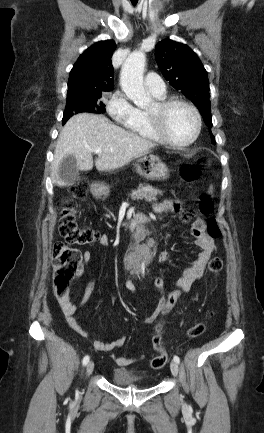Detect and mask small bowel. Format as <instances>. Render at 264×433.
<instances>
[{
	"mask_svg": "<svg viewBox=\"0 0 264 433\" xmlns=\"http://www.w3.org/2000/svg\"><path fill=\"white\" fill-rule=\"evenodd\" d=\"M184 208V203L181 201L167 200L163 202H159L153 205V209L157 213H166V212H179ZM191 233L194 237L195 245L200 249L198 257L194 260L193 264L186 268L181 275V277L177 280V285L182 288L183 291L188 292L191 289L193 283L199 279L204 270L208 260L211 258L212 254L216 250V246L214 243L213 237L205 231V223L202 219H196L192 225ZM98 244L101 246H109L110 242L106 236H102L98 240ZM92 255L90 251L86 250L82 255V267L90 262ZM169 258V254L165 252L162 255V262H166ZM154 286L161 292V298L158 304L157 309L154 311L152 315L144 319L145 324H151L159 314V309L163 304L166 296H165V281L162 278H156L153 281ZM126 288L129 291H134L135 287L132 280H127ZM95 291V285L93 283L89 284L82 303V307H85L90 300L92 294ZM58 303L62 310V313L71 326V328L76 331L81 337L85 339H89L90 333L87 329H85L77 320L76 313L77 309L72 304L69 293L64 296L58 298ZM125 342V337L119 338L115 341L105 342L101 340H94L93 346L96 350L102 352H111L114 349L120 347ZM114 361L120 366H127L137 361V359L125 358L121 356H112Z\"/></svg>",
	"mask_w": 264,
	"mask_h": 433,
	"instance_id": "obj_1",
	"label": "small bowel"
}]
</instances>
